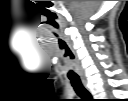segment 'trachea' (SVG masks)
<instances>
[{
  "mask_svg": "<svg viewBox=\"0 0 128 101\" xmlns=\"http://www.w3.org/2000/svg\"><path fill=\"white\" fill-rule=\"evenodd\" d=\"M68 78L71 81V85L73 86L77 95L81 98V101H90L91 95L89 91L83 86L79 76L76 74L73 67L68 71Z\"/></svg>",
  "mask_w": 128,
  "mask_h": 101,
  "instance_id": "3493384b",
  "label": "trachea"
}]
</instances>
